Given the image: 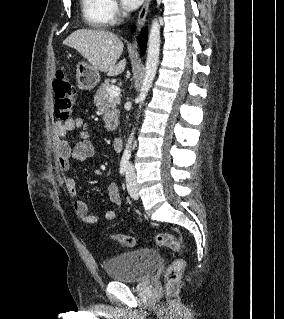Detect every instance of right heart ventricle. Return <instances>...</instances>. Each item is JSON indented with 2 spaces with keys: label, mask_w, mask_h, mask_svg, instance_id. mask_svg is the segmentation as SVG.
<instances>
[{
  "label": "right heart ventricle",
  "mask_w": 284,
  "mask_h": 319,
  "mask_svg": "<svg viewBox=\"0 0 284 319\" xmlns=\"http://www.w3.org/2000/svg\"><path fill=\"white\" fill-rule=\"evenodd\" d=\"M86 23L94 28H106L112 22L107 10V0H80Z\"/></svg>",
  "instance_id": "1"
}]
</instances>
